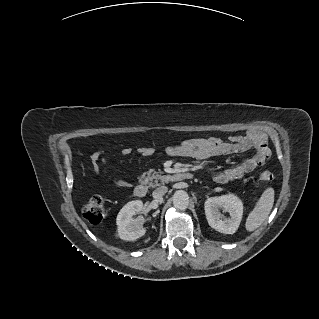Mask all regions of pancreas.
Here are the masks:
<instances>
[{
    "label": "pancreas",
    "instance_id": "pancreas-1",
    "mask_svg": "<svg viewBox=\"0 0 319 319\" xmlns=\"http://www.w3.org/2000/svg\"><path fill=\"white\" fill-rule=\"evenodd\" d=\"M145 175L144 183L148 184L150 187L160 186L161 184L168 182L167 176L162 175V172L148 171Z\"/></svg>",
    "mask_w": 319,
    "mask_h": 319
}]
</instances>
